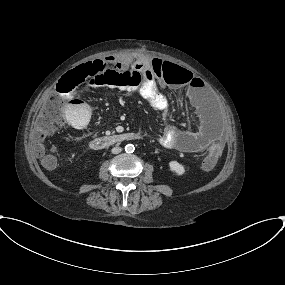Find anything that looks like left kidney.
<instances>
[{
    "mask_svg": "<svg viewBox=\"0 0 285 285\" xmlns=\"http://www.w3.org/2000/svg\"><path fill=\"white\" fill-rule=\"evenodd\" d=\"M169 168L171 172L175 173L178 176H181L185 173V168L177 161H170Z\"/></svg>",
    "mask_w": 285,
    "mask_h": 285,
    "instance_id": "obj_1",
    "label": "left kidney"
}]
</instances>
